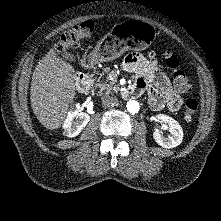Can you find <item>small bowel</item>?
<instances>
[{"label":"small bowel","mask_w":221,"mask_h":221,"mask_svg":"<svg viewBox=\"0 0 221 221\" xmlns=\"http://www.w3.org/2000/svg\"><path fill=\"white\" fill-rule=\"evenodd\" d=\"M122 68L126 72L138 75L135 86L139 94L146 91L149 95V105L155 110L167 107L170 111H178L183 100L181 92L176 85H172L168 77L146 55L139 52L129 53L122 62Z\"/></svg>","instance_id":"c3829d8e"}]
</instances>
